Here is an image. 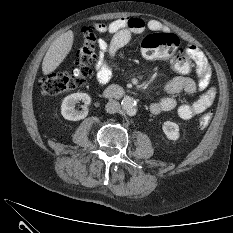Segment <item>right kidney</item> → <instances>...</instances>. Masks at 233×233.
I'll return each mask as SVG.
<instances>
[{"instance_id": "1", "label": "right kidney", "mask_w": 233, "mask_h": 233, "mask_svg": "<svg viewBox=\"0 0 233 233\" xmlns=\"http://www.w3.org/2000/svg\"><path fill=\"white\" fill-rule=\"evenodd\" d=\"M79 101L84 102L86 105L84 110L77 111L75 104ZM91 102V98L86 93H73L65 97L61 104V114L66 120L78 121L84 119L88 115L87 105Z\"/></svg>"}]
</instances>
